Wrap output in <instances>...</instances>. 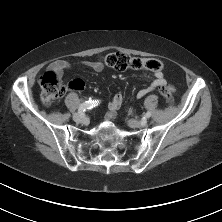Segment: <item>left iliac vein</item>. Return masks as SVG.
Wrapping results in <instances>:
<instances>
[{"label":"left iliac vein","mask_w":222,"mask_h":222,"mask_svg":"<svg viewBox=\"0 0 222 222\" xmlns=\"http://www.w3.org/2000/svg\"><path fill=\"white\" fill-rule=\"evenodd\" d=\"M128 125L132 128L145 127L147 125V120L143 119L141 121L129 120Z\"/></svg>","instance_id":"1"}]
</instances>
